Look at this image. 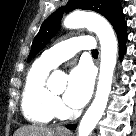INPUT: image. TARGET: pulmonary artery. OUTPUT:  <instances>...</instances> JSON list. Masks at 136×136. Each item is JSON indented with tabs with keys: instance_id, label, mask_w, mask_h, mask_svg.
I'll use <instances>...</instances> for the list:
<instances>
[{
	"instance_id": "e3ab8cb5",
	"label": "pulmonary artery",
	"mask_w": 136,
	"mask_h": 136,
	"mask_svg": "<svg viewBox=\"0 0 136 136\" xmlns=\"http://www.w3.org/2000/svg\"><path fill=\"white\" fill-rule=\"evenodd\" d=\"M94 48L95 42L93 38L87 36L73 37L43 52L39 60L51 68H54L63 61L73 57L78 51L92 50Z\"/></svg>"
}]
</instances>
